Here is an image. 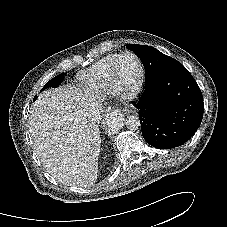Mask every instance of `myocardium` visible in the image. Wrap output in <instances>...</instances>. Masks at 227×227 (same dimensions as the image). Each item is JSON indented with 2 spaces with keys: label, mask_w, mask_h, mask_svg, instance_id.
I'll return each instance as SVG.
<instances>
[{
  "label": "myocardium",
  "mask_w": 227,
  "mask_h": 227,
  "mask_svg": "<svg viewBox=\"0 0 227 227\" xmlns=\"http://www.w3.org/2000/svg\"><path fill=\"white\" fill-rule=\"evenodd\" d=\"M126 56L133 57L136 60L137 65H138V69H139L137 80L134 83V85L129 89L122 87L118 83L117 76H116L117 67H118L119 62L121 61L122 58H124ZM109 80L111 82L112 91L119 98H121L123 100H128V99L133 98L140 91L142 84H143V81H144V65H143L140 57L137 54L130 52V51H125V52L119 54L118 57L116 58V60L114 61V63L112 64L111 68H110Z\"/></svg>",
  "instance_id": "1"
}]
</instances>
